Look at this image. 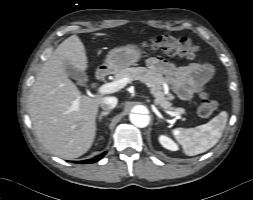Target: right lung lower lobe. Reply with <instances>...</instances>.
I'll return each instance as SVG.
<instances>
[{
	"mask_svg": "<svg viewBox=\"0 0 253 200\" xmlns=\"http://www.w3.org/2000/svg\"><path fill=\"white\" fill-rule=\"evenodd\" d=\"M105 154H106V152L96 156L93 159H88V160H83V161H76V163H94V162L100 160Z\"/></svg>",
	"mask_w": 253,
	"mask_h": 200,
	"instance_id": "right-lung-lower-lobe-1",
	"label": "right lung lower lobe"
}]
</instances>
